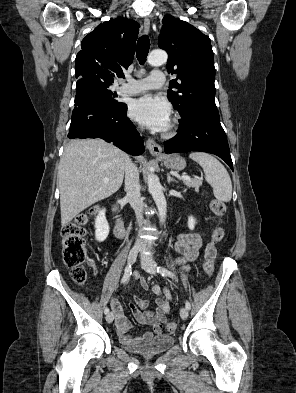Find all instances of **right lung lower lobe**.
Here are the masks:
<instances>
[{"instance_id":"obj_1","label":"right lung lower lobe","mask_w":296,"mask_h":393,"mask_svg":"<svg viewBox=\"0 0 296 393\" xmlns=\"http://www.w3.org/2000/svg\"><path fill=\"white\" fill-rule=\"evenodd\" d=\"M102 138L131 155L144 152L143 139L127 117V106L113 107L86 81L76 85L68 138Z\"/></svg>"}]
</instances>
